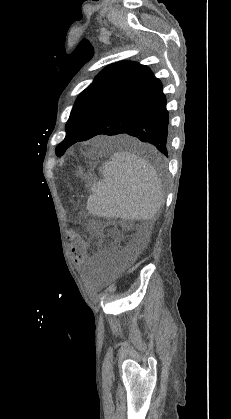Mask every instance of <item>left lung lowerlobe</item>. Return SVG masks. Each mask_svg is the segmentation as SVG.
Listing matches in <instances>:
<instances>
[{"label":"left lung lower lobe","mask_w":231,"mask_h":419,"mask_svg":"<svg viewBox=\"0 0 231 419\" xmlns=\"http://www.w3.org/2000/svg\"><path fill=\"white\" fill-rule=\"evenodd\" d=\"M128 134L154 145L168 157V111L161 82L151 73L123 102L111 110L84 139Z\"/></svg>","instance_id":"0a47b994"}]
</instances>
